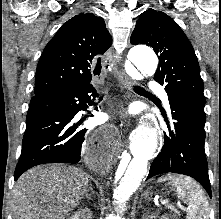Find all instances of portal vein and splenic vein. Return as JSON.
<instances>
[{"mask_svg":"<svg viewBox=\"0 0 221 219\" xmlns=\"http://www.w3.org/2000/svg\"><path fill=\"white\" fill-rule=\"evenodd\" d=\"M162 203H163V204H169V201H168V200H164ZM176 206H178L179 208H181V209L184 210V211L187 210V209H186L184 206H182L180 203H176Z\"/></svg>","mask_w":221,"mask_h":219,"instance_id":"18ae733b","label":"portal vein and splenic vein"}]
</instances>
